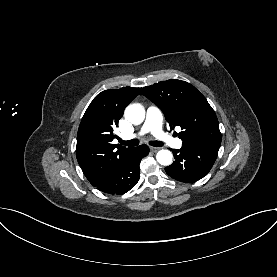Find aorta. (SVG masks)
Returning a JSON list of instances; mask_svg holds the SVG:
<instances>
[{"label": "aorta", "instance_id": "762f6f07", "mask_svg": "<svg viewBox=\"0 0 277 277\" xmlns=\"http://www.w3.org/2000/svg\"><path fill=\"white\" fill-rule=\"evenodd\" d=\"M125 118L132 124L138 125L144 121L145 110L140 104H131L125 109ZM173 155L169 150H160L156 155L159 164L168 166L172 163Z\"/></svg>", "mask_w": 277, "mask_h": 277}]
</instances>
